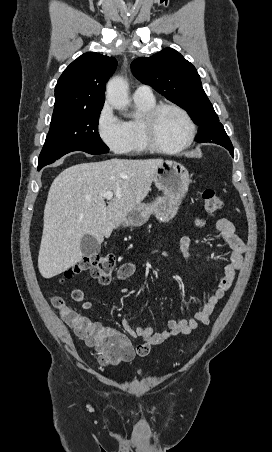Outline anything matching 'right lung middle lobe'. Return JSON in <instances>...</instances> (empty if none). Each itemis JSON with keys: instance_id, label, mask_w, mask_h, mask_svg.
<instances>
[{"instance_id": "1", "label": "right lung middle lobe", "mask_w": 272, "mask_h": 452, "mask_svg": "<svg viewBox=\"0 0 272 452\" xmlns=\"http://www.w3.org/2000/svg\"><path fill=\"white\" fill-rule=\"evenodd\" d=\"M101 109L53 115L38 164L77 150L89 154L107 153L109 148L97 131Z\"/></svg>"}]
</instances>
